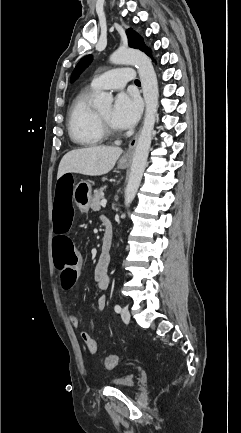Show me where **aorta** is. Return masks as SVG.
Segmentation results:
<instances>
[{
  "instance_id": "obj_1",
  "label": "aorta",
  "mask_w": 241,
  "mask_h": 433,
  "mask_svg": "<svg viewBox=\"0 0 241 433\" xmlns=\"http://www.w3.org/2000/svg\"><path fill=\"white\" fill-rule=\"evenodd\" d=\"M110 61L114 64H132L137 67L146 104L143 127L137 140L125 189V206H129L135 198L147 164L158 109V82L151 60L141 51L120 48L111 55ZM112 102V95L106 92L98 94L94 100L98 108L110 107Z\"/></svg>"
}]
</instances>
